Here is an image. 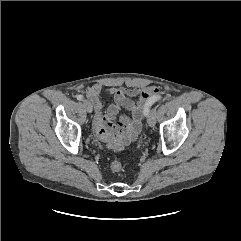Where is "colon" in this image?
<instances>
[{
  "mask_svg": "<svg viewBox=\"0 0 241 241\" xmlns=\"http://www.w3.org/2000/svg\"><path fill=\"white\" fill-rule=\"evenodd\" d=\"M110 168L113 172H119L122 169V164L118 160H114L110 164Z\"/></svg>",
  "mask_w": 241,
  "mask_h": 241,
  "instance_id": "5ec220e1",
  "label": "colon"
}]
</instances>
